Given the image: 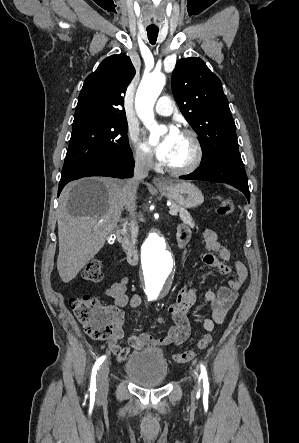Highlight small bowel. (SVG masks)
I'll return each instance as SVG.
<instances>
[{
	"label": "small bowel",
	"mask_w": 299,
	"mask_h": 443,
	"mask_svg": "<svg viewBox=\"0 0 299 443\" xmlns=\"http://www.w3.org/2000/svg\"><path fill=\"white\" fill-rule=\"evenodd\" d=\"M190 235L191 231L187 225H178L177 240L179 242H185L186 244L190 239ZM203 238L206 245V250L201 255L203 263L223 275H231L228 285L220 287L216 292L208 290L204 294L205 301L212 308V315L204 320L203 326L206 331L211 332L215 325L224 322L238 297V291L243 287L249 274L245 265L239 260H233L230 251L220 244L215 231L205 230ZM128 285L129 278L124 277L113 283L105 291V294L113 300V306L110 309L117 318L114 335L107 346L112 354L119 359H125L130 354L131 349H141L143 347L163 348L172 344L179 346L189 338L190 324L188 316L196 303L198 290L183 287L178 291L175 302L168 307L172 324L163 336L153 337L146 333L133 334L128 339V346L119 345L118 341L123 337L122 324L125 320V314L121 308L126 305L136 308L142 303L139 294L127 296ZM160 320L162 319L160 318Z\"/></svg>",
	"instance_id": "obj_1"
}]
</instances>
